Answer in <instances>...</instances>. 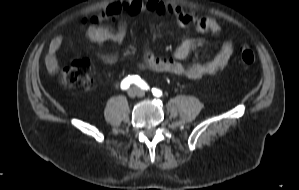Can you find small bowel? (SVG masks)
<instances>
[{
  "label": "small bowel",
  "mask_w": 299,
  "mask_h": 190,
  "mask_svg": "<svg viewBox=\"0 0 299 190\" xmlns=\"http://www.w3.org/2000/svg\"><path fill=\"white\" fill-rule=\"evenodd\" d=\"M123 12L130 15H137L141 12H152L157 15L172 14L176 16L178 24L182 28L194 24L200 33L209 32L217 35L221 31L220 25L213 18L209 16H198L191 10L164 2L163 0H124L123 2L113 3L102 13L91 16V24L87 29L89 40L98 45L107 42L117 46L122 45L126 36L125 22L121 20L115 27L105 24L104 22L117 18ZM63 43L64 36L59 34L55 36L49 44L46 65L51 73H56L59 69L56 54ZM203 43L204 39L201 36L185 38L177 46L171 58L157 57L153 50L149 46H146L143 50L142 61L138 63V66L143 70L148 69L154 72L170 73L193 80L207 75H214L228 64L233 54V44L230 41H225L219 52L211 60L204 63L186 65L185 60L192 50ZM99 58L104 64H114L118 59V53L102 54Z\"/></svg>",
  "instance_id": "1"
}]
</instances>
